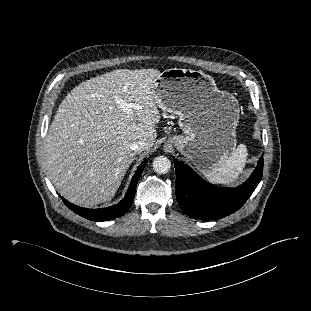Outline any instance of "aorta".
I'll use <instances>...</instances> for the list:
<instances>
[{
    "instance_id": "1",
    "label": "aorta",
    "mask_w": 311,
    "mask_h": 311,
    "mask_svg": "<svg viewBox=\"0 0 311 311\" xmlns=\"http://www.w3.org/2000/svg\"><path fill=\"white\" fill-rule=\"evenodd\" d=\"M171 167V162L166 156H158L153 161V170L159 174H166Z\"/></svg>"
}]
</instances>
